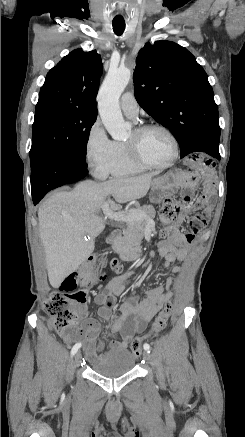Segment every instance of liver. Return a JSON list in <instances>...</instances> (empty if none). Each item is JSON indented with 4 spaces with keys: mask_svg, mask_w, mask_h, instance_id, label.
<instances>
[{
    "mask_svg": "<svg viewBox=\"0 0 245 437\" xmlns=\"http://www.w3.org/2000/svg\"><path fill=\"white\" fill-rule=\"evenodd\" d=\"M156 174L100 183L87 180L70 192L57 191L46 198L38 210L39 234L52 287H59L94 251L95 238L105 229V220L98 215L105 202L115 211L123 203L143 198Z\"/></svg>",
    "mask_w": 245,
    "mask_h": 437,
    "instance_id": "6515ba94",
    "label": "liver"
}]
</instances>
